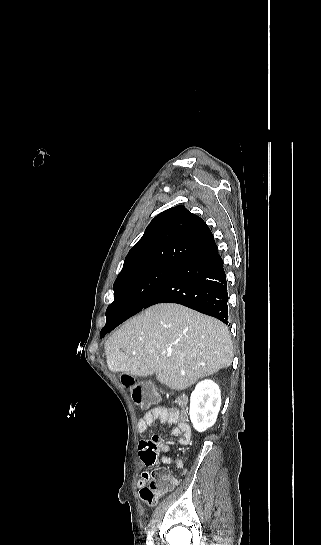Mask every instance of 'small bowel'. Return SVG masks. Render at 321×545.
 <instances>
[{
	"mask_svg": "<svg viewBox=\"0 0 321 545\" xmlns=\"http://www.w3.org/2000/svg\"><path fill=\"white\" fill-rule=\"evenodd\" d=\"M157 421L163 425H176L170 430L169 434L172 437H175L178 443L187 444L190 441L191 430L189 425L180 419V416L176 409L164 407V406H159L146 412L139 419L137 423L138 432L140 434L146 433L148 428L153 426L154 423ZM174 443L175 441L173 440L160 442L159 443L160 452L164 454L169 453L171 450V446ZM141 461L145 467L150 468L154 466L155 464H157L158 459L156 457L154 460H149L143 454H141ZM160 461L163 464L173 465L177 468H181L183 466V461L181 459H172L167 455H162L160 457ZM159 472L168 475L176 482V484L178 483V479L175 476L169 475L165 471H159ZM151 475L152 474H150L149 472H144L142 477L139 478L137 481L138 488H142L146 486L147 481L150 479Z\"/></svg>",
	"mask_w": 321,
	"mask_h": 545,
	"instance_id": "c3829d8e",
	"label": "small bowel"
}]
</instances>
